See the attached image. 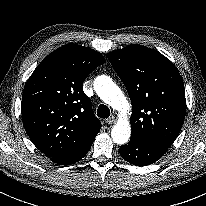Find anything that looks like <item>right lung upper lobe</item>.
I'll return each mask as SVG.
<instances>
[{
    "label": "right lung upper lobe",
    "mask_w": 206,
    "mask_h": 206,
    "mask_svg": "<svg viewBox=\"0 0 206 206\" xmlns=\"http://www.w3.org/2000/svg\"><path fill=\"white\" fill-rule=\"evenodd\" d=\"M104 63L97 51L65 45L49 54L28 79L21 104L23 125L30 140L51 159L76 150L100 131L82 86Z\"/></svg>",
    "instance_id": "1"
}]
</instances>
